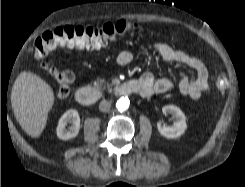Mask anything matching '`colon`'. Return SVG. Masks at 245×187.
Here are the masks:
<instances>
[{
  "label": "colon",
  "mask_w": 245,
  "mask_h": 187,
  "mask_svg": "<svg viewBox=\"0 0 245 187\" xmlns=\"http://www.w3.org/2000/svg\"><path fill=\"white\" fill-rule=\"evenodd\" d=\"M137 27V24L125 20L107 23L101 27H59L47 31L35 39L30 47V52L35 59L40 60L60 47L97 49L123 37L127 32ZM39 65L44 72L57 81V96L66 98L70 93V85L74 80L73 72L44 62H40ZM216 85L219 89L227 87V80L224 75H218Z\"/></svg>",
  "instance_id": "1"
}]
</instances>
